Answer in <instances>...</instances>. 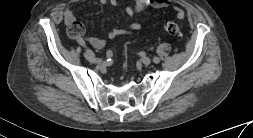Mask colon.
Masks as SVG:
<instances>
[{
	"mask_svg": "<svg viewBox=\"0 0 253 138\" xmlns=\"http://www.w3.org/2000/svg\"><path fill=\"white\" fill-rule=\"evenodd\" d=\"M164 29L169 35H172V36L179 37L182 34L180 26L177 23L172 22V21L166 22L164 24ZM83 33H84V27L81 22L75 20L73 23L69 25L68 34L72 38H80Z\"/></svg>",
	"mask_w": 253,
	"mask_h": 138,
	"instance_id": "5ec220e1",
	"label": "colon"
}]
</instances>
